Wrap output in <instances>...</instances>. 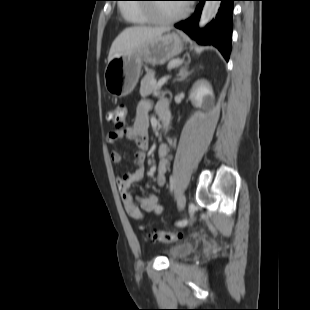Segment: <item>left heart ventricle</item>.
<instances>
[{"mask_svg": "<svg viewBox=\"0 0 310 310\" xmlns=\"http://www.w3.org/2000/svg\"><path fill=\"white\" fill-rule=\"evenodd\" d=\"M182 9L178 4H160L156 7L157 14L160 16L173 15Z\"/></svg>", "mask_w": 310, "mask_h": 310, "instance_id": "1", "label": "left heart ventricle"}]
</instances>
